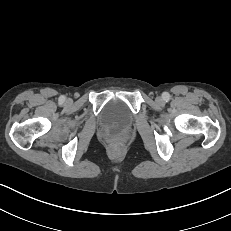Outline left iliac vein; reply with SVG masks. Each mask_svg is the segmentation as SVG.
Listing matches in <instances>:
<instances>
[{
  "mask_svg": "<svg viewBox=\"0 0 231 231\" xmlns=\"http://www.w3.org/2000/svg\"><path fill=\"white\" fill-rule=\"evenodd\" d=\"M156 102L158 103V104H163L164 103V99L161 97V96H158V97H156Z\"/></svg>",
  "mask_w": 231,
  "mask_h": 231,
  "instance_id": "left-iliac-vein-1",
  "label": "left iliac vein"
}]
</instances>
